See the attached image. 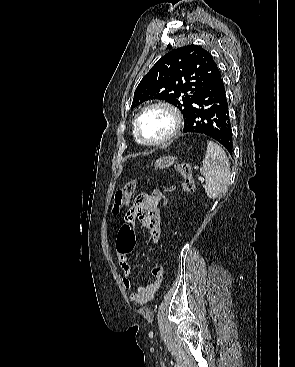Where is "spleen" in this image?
Instances as JSON below:
<instances>
[{
  "label": "spleen",
  "instance_id": "spleen-1",
  "mask_svg": "<svg viewBox=\"0 0 295 367\" xmlns=\"http://www.w3.org/2000/svg\"><path fill=\"white\" fill-rule=\"evenodd\" d=\"M200 172L205 176V193L210 199H215L226 191L230 180L229 159L225 151L213 141H207Z\"/></svg>",
  "mask_w": 295,
  "mask_h": 367
}]
</instances>
